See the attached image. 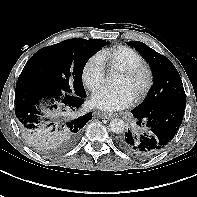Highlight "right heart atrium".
<instances>
[{
	"instance_id": "1",
	"label": "right heart atrium",
	"mask_w": 197,
	"mask_h": 197,
	"mask_svg": "<svg viewBox=\"0 0 197 197\" xmlns=\"http://www.w3.org/2000/svg\"><path fill=\"white\" fill-rule=\"evenodd\" d=\"M105 64L99 57L94 55L87 60L82 69V81L92 92L96 91L105 79Z\"/></svg>"
}]
</instances>
